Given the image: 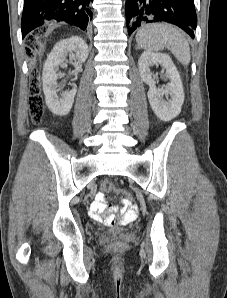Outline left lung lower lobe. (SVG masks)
<instances>
[{
	"label": "left lung lower lobe",
	"instance_id": "0a47b994",
	"mask_svg": "<svg viewBox=\"0 0 227 298\" xmlns=\"http://www.w3.org/2000/svg\"><path fill=\"white\" fill-rule=\"evenodd\" d=\"M125 12L129 35L144 22H169L194 38V0H126Z\"/></svg>",
	"mask_w": 227,
	"mask_h": 298
}]
</instances>
